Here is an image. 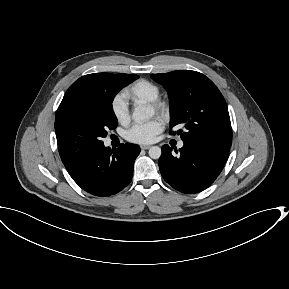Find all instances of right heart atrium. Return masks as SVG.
Instances as JSON below:
<instances>
[{
    "instance_id": "obj_1",
    "label": "right heart atrium",
    "mask_w": 289,
    "mask_h": 289,
    "mask_svg": "<svg viewBox=\"0 0 289 289\" xmlns=\"http://www.w3.org/2000/svg\"><path fill=\"white\" fill-rule=\"evenodd\" d=\"M111 111L116 120L121 124H127L130 121V111L126 99L118 95L111 102Z\"/></svg>"
}]
</instances>
